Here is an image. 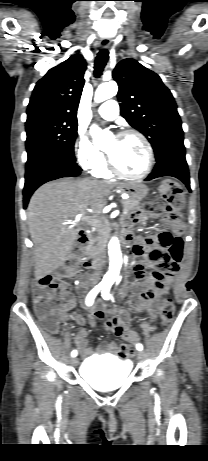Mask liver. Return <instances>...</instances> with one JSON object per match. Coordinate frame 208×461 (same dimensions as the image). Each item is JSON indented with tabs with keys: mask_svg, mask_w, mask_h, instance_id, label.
Here are the masks:
<instances>
[{
	"mask_svg": "<svg viewBox=\"0 0 208 461\" xmlns=\"http://www.w3.org/2000/svg\"><path fill=\"white\" fill-rule=\"evenodd\" d=\"M121 184L63 178L38 188L27 208V222L34 243L37 280L62 266L77 239L70 225L79 214L99 215L113 188ZM65 223V224H64Z\"/></svg>",
	"mask_w": 208,
	"mask_h": 461,
	"instance_id": "liver-1",
	"label": "liver"
}]
</instances>
